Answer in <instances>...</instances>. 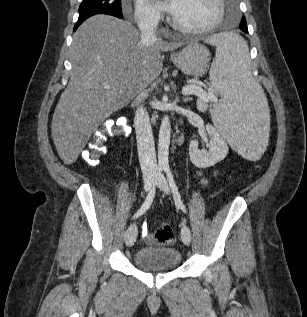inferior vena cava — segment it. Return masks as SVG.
<instances>
[{
    "label": "inferior vena cava",
    "mask_w": 307,
    "mask_h": 317,
    "mask_svg": "<svg viewBox=\"0 0 307 317\" xmlns=\"http://www.w3.org/2000/svg\"><path fill=\"white\" fill-rule=\"evenodd\" d=\"M138 26L141 31V39L143 41H156L157 38L155 30L158 26L157 17H145L140 20ZM134 127L143 177H153L157 174L158 166L150 118L146 108L143 107V105L139 106L135 111Z\"/></svg>",
    "instance_id": "obj_1"
}]
</instances>
